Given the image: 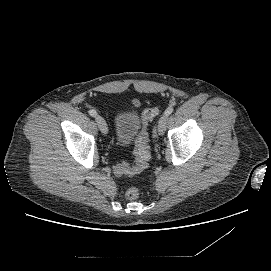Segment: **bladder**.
<instances>
[{
	"mask_svg": "<svg viewBox=\"0 0 271 271\" xmlns=\"http://www.w3.org/2000/svg\"><path fill=\"white\" fill-rule=\"evenodd\" d=\"M140 127V120L137 111L121 110L114 118V138L120 146L130 144L132 138Z\"/></svg>",
	"mask_w": 271,
	"mask_h": 271,
	"instance_id": "bladder-1",
	"label": "bladder"
}]
</instances>
